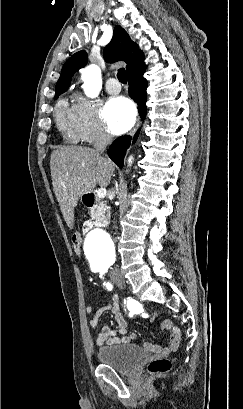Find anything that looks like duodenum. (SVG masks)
<instances>
[{"mask_svg":"<svg viewBox=\"0 0 243 409\" xmlns=\"http://www.w3.org/2000/svg\"><path fill=\"white\" fill-rule=\"evenodd\" d=\"M83 203L84 205L89 208L93 209L96 208L99 205V201L97 197L95 196L94 193H86L83 196ZM106 220L104 218H97L93 223H87L84 226V230H89L93 227H105L106 226Z\"/></svg>","mask_w":243,"mask_h":409,"instance_id":"410a0bca","label":"duodenum"}]
</instances>
